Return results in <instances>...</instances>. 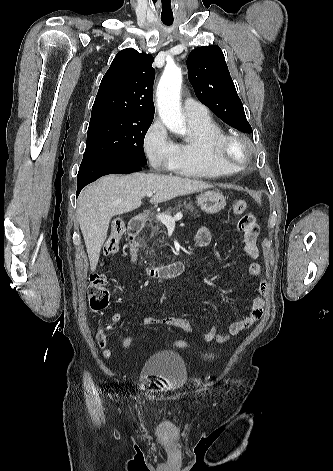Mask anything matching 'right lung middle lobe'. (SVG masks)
Here are the masks:
<instances>
[{"label": "right lung middle lobe", "instance_id": "1", "mask_svg": "<svg viewBox=\"0 0 333 471\" xmlns=\"http://www.w3.org/2000/svg\"><path fill=\"white\" fill-rule=\"evenodd\" d=\"M153 118L126 114L91 117L82 162L114 161L146 165L143 142Z\"/></svg>", "mask_w": 333, "mask_h": 471}]
</instances>
